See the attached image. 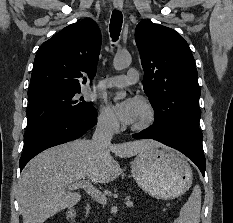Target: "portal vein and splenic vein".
Wrapping results in <instances>:
<instances>
[{"mask_svg": "<svg viewBox=\"0 0 233 223\" xmlns=\"http://www.w3.org/2000/svg\"><path fill=\"white\" fill-rule=\"evenodd\" d=\"M71 185L74 189H78V187H87V189H89V195H91L95 201H98V203H106L107 201L105 193H102L99 189H94L92 183H89L88 179H78V181L71 183ZM132 205V201H126V206L131 207Z\"/></svg>", "mask_w": 233, "mask_h": 223, "instance_id": "18ae733b", "label": "portal vein and splenic vein"}]
</instances>
